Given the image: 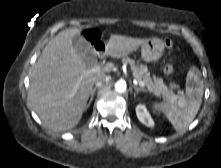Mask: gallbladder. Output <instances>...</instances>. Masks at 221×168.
I'll use <instances>...</instances> for the list:
<instances>
[{"label": "gallbladder", "mask_w": 221, "mask_h": 168, "mask_svg": "<svg viewBox=\"0 0 221 168\" xmlns=\"http://www.w3.org/2000/svg\"><path fill=\"white\" fill-rule=\"evenodd\" d=\"M73 47L77 54L86 64H95L97 56L91 45L84 39L75 37L72 41Z\"/></svg>", "instance_id": "1"}]
</instances>
